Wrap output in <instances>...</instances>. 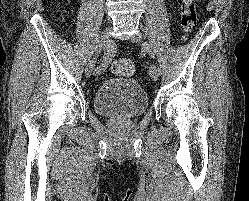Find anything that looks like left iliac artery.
Returning <instances> with one entry per match:
<instances>
[{
	"instance_id": "1",
	"label": "left iliac artery",
	"mask_w": 249,
	"mask_h": 201,
	"mask_svg": "<svg viewBox=\"0 0 249 201\" xmlns=\"http://www.w3.org/2000/svg\"><path fill=\"white\" fill-rule=\"evenodd\" d=\"M143 47H144L145 50L148 51V53H149V55L151 57H154V52H153V50L151 49L150 45L147 42H145L143 44ZM157 72L159 73V75L161 74V69L159 67H157Z\"/></svg>"
}]
</instances>
